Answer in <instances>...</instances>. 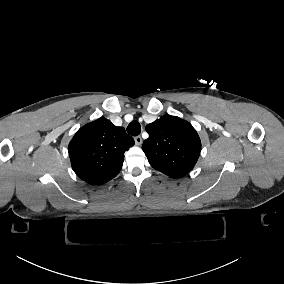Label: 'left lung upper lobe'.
Instances as JSON below:
<instances>
[{
	"instance_id": "left-lung-upper-lobe-1",
	"label": "left lung upper lobe",
	"mask_w": 284,
	"mask_h": 284,
	"mask_svg": "<svg viewBox=\"0 0 284 284\" xmlns=\"http://www.w3.org/2000/svg\"><path fill=\"white\" fill-rule=\"evenodd\" d=\"M149 138L142 149L150 165L173 178L189 173L201 150L200 138L193 126L176 116L166 115L146 126Z\"/></svg>"
}]
</instances>
